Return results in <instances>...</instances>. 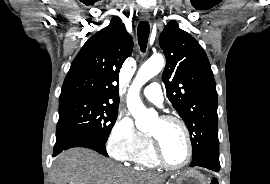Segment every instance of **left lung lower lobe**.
Wrapping results in <instances>:
<instances>
[{"label": "left lung lower lobe", "instance_id": "1", "mask_svg": "<svg viewBox=\"0 0 270 184\" xmlns=\"http://www.w3.org/2000/svg\"><path fill=\"white\" fill-rule=\"evenodd\" d=\"M199 166L218 172L220 170L219 154H206L191 167Z\"/></svg>", "mask_w": 270, "mask_h": 184}]
</instances>
